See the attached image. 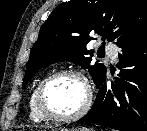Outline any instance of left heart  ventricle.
<instances>
[{
    "instance_id": "left-heart-ventricle-1",
    "label": "left heart ventricle",
    "mask_w": 147,
    "mask_h": 131,
    "mask_svg": "<svg viewBox=\"0 0 147 131\" xmlns=\"http://www.w3.org/2000/svg\"><path fill=\"white\" fill-rule=\"evenodd\" d=\"M87 100V91L81 80L66 76L55 80L46 91V103L56 114L78 112Z\"/></svg>"
}]
</instances>
